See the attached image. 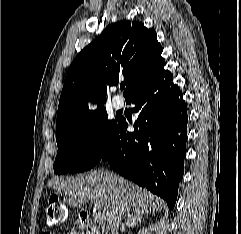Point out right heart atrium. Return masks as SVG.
I'll list each match as a JSON object with an SVG mask.
<instances>
[{"label":"right heart atrium","instance_id":"right-heart-atrium-1","mask_svg":"<svg viewBox=\"0 0 241 234\" xmlns=\"http://www.w3.org/2000/svg\"><path fill=\"white\" fill-rule=\"evenodd\" d=\"M85 145L91 153L97 152L101 147V139L96 129L90 130L85 135Z\"/></svg>","mask_w":241,"mask_h":234}]
</instances>
